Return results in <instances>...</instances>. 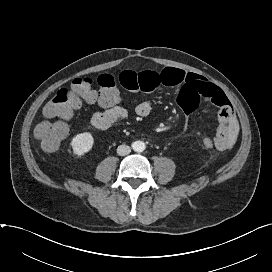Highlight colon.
Masks as SVG:
<instances>
[{"mask_svg": "<svg viewBox=\"0 0 272 272\" xmlns=\"http://www.w3.org/2000/svg\"><path fill=\"white\" fill-rule=\"evenodd\" d=\"M122 96L117 82L112 75L102 74L97 78L84 76L76 78L69 87L61 88L43 108L45 119L40 121L34 130L46 152L56 151L69 135L67 121L71 120L84 102L95 103L109 108L120 104ZM58 118V120H52ZM204 147H214L213 138L202 140Z\"/></svg>", "mask_w": 272, "mask_h": 272, "instance_id": "colon-1", "label": "colon"}]
</instances>
